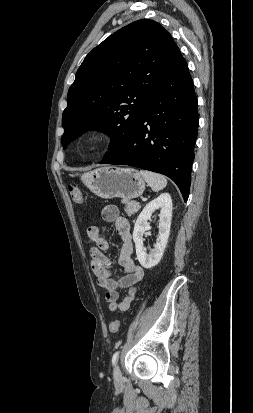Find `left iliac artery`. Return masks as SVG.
<instances>
[{"label":"left iliac artery","instance_id":"1","mask_svg":"<svg viewBox=\"0 0 253 413\" xmlns=\"http://www.w3.org/2000/svg\"><path fill=\"white\" fill-rule=\"evenodd\" d=\"M118 358H119V351H116V352L113 354V357H112V364H113V365L117 362Z\"/></svg>","mask_w":253,"mask_h":413}]
</instances>
